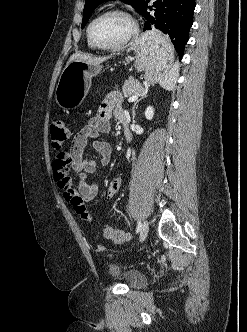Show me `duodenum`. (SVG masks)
Wrapping results in <instances>:
<instances>
[{"label":"duodenum","mask_w":247,"mask_h":332,"mask_svg":"<svg viewBox=\"0 0 247 332\" xmlns=\"http://www.w3.org/2000/svg\"><path fill=\"white\" fill-rule=\"evenodd\" d=\"M120 122H121V124H122V126H123V129H124L125 139H126L127 141H129V140H130V133H129V130H128V127H127L126 118H125V117H122V118L120 119Z\"/></svg>","instance_id":"obj_1"}]
</instances>
